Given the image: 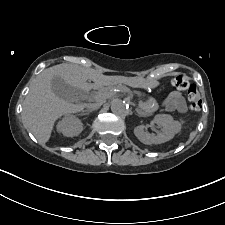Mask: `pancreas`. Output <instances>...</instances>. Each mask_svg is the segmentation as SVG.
I'll use <instances>...</instances> for the list:
<instances>
[{"instance_id": "1", "label": "pancreas", "mask_w": 225, "mask_h": 225, "mask_svg": "<svg viewBox=\"0 0 225 225\" xmlns=\"http://www.w3.org/2000/svg\"><path fill=\"white\" fill-rule=\"evenodd\" d=\"M102 92H105V90H103ZM141 104V111L144 113V115H152L155 111L159 109L158 103L153 98H150L146 102H141Z\"/></svg>"}]
</instances>
